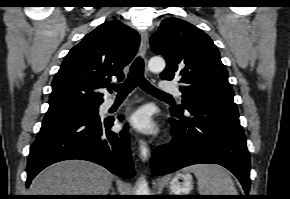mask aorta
<instances>
[{"mask_svg":"<svg viewBox=\"0 0 290 199\" xmlns=\"http://www.w3.org/2000/svg\"><path fill=\"white\" fill-rule=\"evenodd\" d=\"M166 63L162 57H152L148 62V68L153 73L162 72L165 69ZM136 195H150V190L147 181L142 178L137 186Z\"/></svg>","mask_w":290,"mask_h":199,"instance_id":"obj_1","label":"aorta"}]
</instances>
